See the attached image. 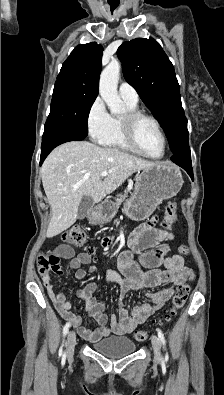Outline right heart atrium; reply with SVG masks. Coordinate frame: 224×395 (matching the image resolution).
Returning a JSON list of instances; mask_svg holds the SVG:
<instances>
[{"mask_svg":"<svg viewBox=\"0 0 224 395\" xmlns=\"http://www.w3.org/2000/svg\"><path fill=\"white\" fill-rule=\"evenodd\" d=\"M111 115L108 113L102 98L97 97L89 106L86 125L93 140L99 141L109 130Z\"/></svg>","mask_w":224,"mask_h":395,"instance_id":"d8ad5b80","label":"right heart atrium"}]
</instances>
